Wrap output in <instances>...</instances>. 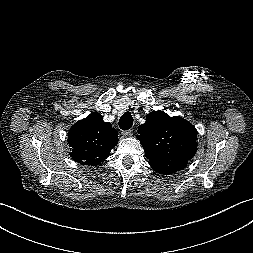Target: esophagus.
I'll return each instance as SVG.
<instances>
[{"mask_svg": "<svg viewBox=\"0 0 253 253\" xmlns=\"http://www.w3.org/2000/svg\"><path fill=\"white\" fill-rule=\"evenodd\" d=\"M122 135L125 137H131L133 135V130L122 131Z\"/></svg>", "mask_w": 253, "mask_h": 253, "instance_id": "1", "label": "esophagus"}]
</instances>
